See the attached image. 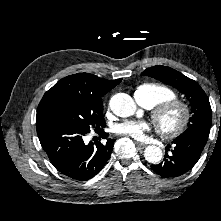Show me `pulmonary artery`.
<instances>
[{"label":"pulmonary artery","mask_w":221,"mask_h":221,"mask_svg":"<svg viewBox=\"0 0 221 221\" xmlns=\"http://www.w3.org/2000/svg\"><path fill=\"white\" fill-rule=\"evenodd\" d=\"M134 97L139 104L143 105L146 108H151L150 104L140 93H134Z\"/></svg>","instance_id":"1"}]
</instances>
